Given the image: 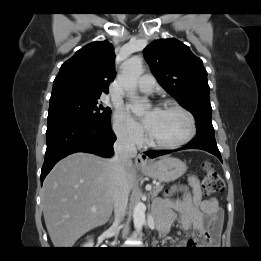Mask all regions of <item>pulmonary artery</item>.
Returning a JSON list of instances; mask_svg holds the SVG:
<instances>
[{
  "label": "pulmonary artery",
  "instance_id": "e3ab8cb5",
  "mask_svg": "<svg viewBox=\"0 0 261 261\" xmlns=\"http://www.w3.org/2000/svg\"><path fill=\"white\" fill-rule=\"evenodd\" d=\"M155 85L156 82L154 77L149 74L141 76L137 82L139 91L146 94L152 93L155 89Z\"/></svg>",
  "mask_w": 261,
  "mask_h": 261
}]
</instances>
